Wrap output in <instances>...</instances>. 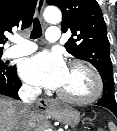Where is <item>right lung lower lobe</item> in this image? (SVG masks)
<instances>
[{
	"label": "right lung lower lobe",
	"mask_w": 117,
	"mask_h": 131,
	"mask_svg": "<svg viewBox=\"0 0 117 131\" xmlns=\"http://www.w3.org/2000/svg\"><path fill=\"white\" fill-rule=\"evenodd\" d=\"M20 87L21 81L16 75V66L9 67L5 73H0V94L19 99Z\"/></svg>",
	"instance_id": "right-lung-lower-lobe-1"
}]
</instances>
